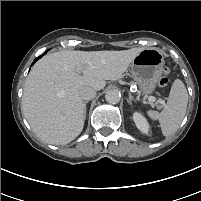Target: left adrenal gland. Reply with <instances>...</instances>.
<instances>
[{
    "label": "left adrenal gland",
    "instance_id": "left-adrenal-gland-1",
    "mask_svg": "<svg viewBox=\"0 0 201 201\" xmlns=\"http://www.w3.org/2000/svg\"><path fill=\"white\" fill-rule=\"evenodd\" d=\"M132 101H135V99L133 98V96L131 95V93H129V100L128 103L131 105Z\"/></svg>",
    "mask_w": 201,
    "mask_h": 201
}]
</instances>
